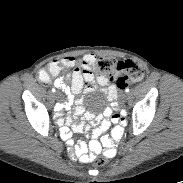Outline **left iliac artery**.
<instances>
[{
	"instance_id": "obj_1",
	"label": "left iliac artery",
	"mask_w": 183,
	"mask_h": 183,
	"mask_svg": "<svg viewBox=\"0 0 183 183\" xmlns=\"http://www.w3.org/2000/svg\"><path fill=\"white\" fill-rule=\"evenodd\" d=\"M125 92L128 93V92H129V88H126V89H125Z\"/></svg>"
}]
</instances>
